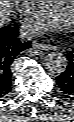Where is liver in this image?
<instances>
[{
    "mask_svg": "<svg viewBox=\"0 0 74 122\" xmlns=\"http://www.w3.org/2000/svg\"><path fill=\"white\" fill-rule=\"evenodd\" d=\"M15 1H0V25H4L12 11Z\"/></svg>",
    "mask_w": 74,
    "mask_h": 122,
    "instance_id": "6515ba94",
    "label": "liver"
}]
</instances>
